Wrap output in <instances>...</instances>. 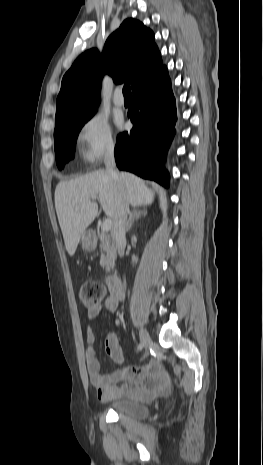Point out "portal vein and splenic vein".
<instances>
[{"instance_id": "obj_1", "label": "portal vein and splenic vein", "mask_w": 263, "mask_h": 465, "mask_svg": "<svg viewBox=\"0 0 263 465\" xmlns=\"http://www.w3.org/2000/svg\"><path fill=\"white\" fill-rule=\"evenodd\" d=\"M112 228V220L111 218H107L103 221L102 225H101V230L103 232H108L109 230H111Z\"/></svg>"}]
</instances>
